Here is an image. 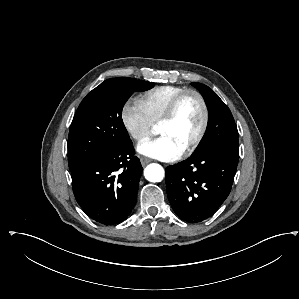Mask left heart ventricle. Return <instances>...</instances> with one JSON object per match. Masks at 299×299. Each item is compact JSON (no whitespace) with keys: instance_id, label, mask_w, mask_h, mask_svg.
Masks as SVG:
<instances>
[{"instance_id":"obj_1","label":"left heart ventricle","mask_w":299,"mask_h":299,"mask_svg":"<svg viewBox=\"0 0 299 299\" xmlns=\"http://www.w3.org/2000/svg\"><path fill=\"white\" fill-rule=\"evenodd\" d=\"M202 117L203 112L199 100L190 95L180 105L175 119L170 123L160 125L158 133L170 138L184 150L197 135Z\"/></svg>"}]
</instances>
